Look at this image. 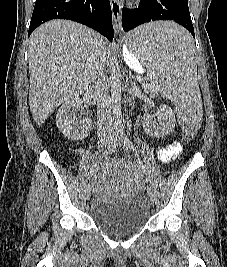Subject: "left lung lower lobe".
Wrapping results in <instances>:
<instances>
[{
  "label": "left lung lower lobe",
  "mask_w": 227,
  "mask_h": 267,
  "mask_svg": "<svg viewBox=\"0 0 227 267\" xmlns=\"http://www.w3.org/2000/svg\"><path fill=\"white\" fill-rule=\"evenodd\" d=\"M157 20L174 21L185 27L195 38L194 28L188 7V0H142L139 8L122 10V26L124 31ZM155 43L167 48H178L184 44L180 38H159Z\"/></svg>",
  "instance_id": "obj_1"
}]
</instances>
